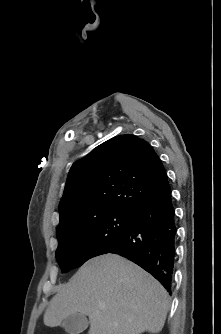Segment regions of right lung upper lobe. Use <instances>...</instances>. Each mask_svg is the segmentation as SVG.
Masks as SVG:
<instances>
[{
	"label": "right lung upper lobe",
	"mask_w": 221,
	"mask_h": 334,
	"mask_svg": "<svg viewBox=\"0 0 221 334\" xmlns=\"http://www.w3.org/2000/svg\"><path fill=\"white\" fill-rule=\"evenodd\" d=\"M154 149L135 135H121L76 161L59 204L57 237L84 220L110 213H133L167 182Z\"/></svg>",
	"instance_id": "cb5924a9"
}]
</instances>
